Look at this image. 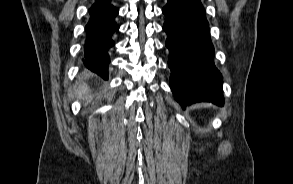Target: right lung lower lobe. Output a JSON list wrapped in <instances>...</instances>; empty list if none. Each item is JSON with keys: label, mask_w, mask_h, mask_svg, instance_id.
<instances>
[{"label": "right lung lower lobe", "mask_w": 293, "mask_h": 184, "mask_svg": "<svg viewBox=\"0 0 293 184\" xmlns=\"http://www.w3.org/2000/svg\"><path fill=\"white\" fill-rule=\"evenodd\" d=\"M119 9L110 0L96 1L89 10L90 18L85 27L84 65L104 79L108 78V49L114 45L111 36L119 29L115 22Z\"/></svg>", "instance_id": "98d812e1"}]
</instances>
